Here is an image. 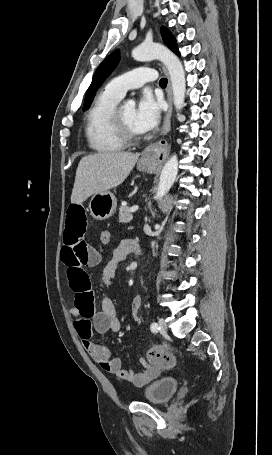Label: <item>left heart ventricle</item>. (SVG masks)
Masks as SVG:
<instances>
[{"label":"left heart ventricle","instance_id":"left-heart-ventricle-1","mask_svg":"<svg viewBox=\"0 0 272 455\" xmlns=\"http://www.w3.org/2000/svg\"><path fill=\"white\" fill-rule=\"evenodd\" d=\"M121 115L126 126L133 132L138 134L134 126L135 109L132 107L121 108Z\"/></svg>","mask_w":272,"mask_h":455}]
</instances>
